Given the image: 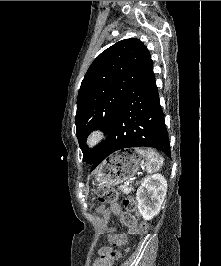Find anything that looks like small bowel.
I'll list each match as a JSON object with an SVG mask.
<instances>
[{
  "mask_svg": "<svg viewBox=\"0 0 221 266\" xmlns=\"http://www.w3.org/2000/svg\"><path fill=\"white\" fill-rule=\"evenodd\" d=\"M97 211H98L99 213H102V212L105 211V209L99 207V208H97ZM109 249H110V247H103V248H101V249L99 250V257H100L103 253H105L106 251H108ZM99 257H98V259H99ZM98 259L93 263L92 266H97V261H98ZM110 266H111V265H110Z\"/></svg>",
  "mask_w": 221,
  "mask_h": 266,
  "instance_id": "obj_1",
  "label": "small bowel"
}]
</instances>
